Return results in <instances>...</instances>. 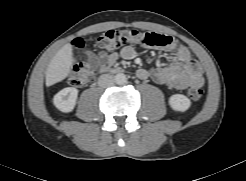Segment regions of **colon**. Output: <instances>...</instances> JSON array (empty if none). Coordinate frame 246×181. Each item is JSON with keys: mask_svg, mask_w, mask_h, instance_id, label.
Returning a JSON list of instances; mask_svg holds the SVG:
<instances>
[{"mask_svg": "<svg viewBox=\"0 0 246 181\" xmlns=\"http://www.w3.org/2000/svg\"><path fill=\"white\" fill-rule=\"evenodd\" d=\"M82 39H77L75 45L81 47ZM100 48L114 50L130 44L144 45L155 48H170L177 45V40L171 36L154 32H141L135 29H112L103 33L97 40ZM93 78V67L87 62H77L69 76V82L74 87H82ZM188 96L192 100H198L203 96V90L193 86L188 90Z\"/></svg>", "mask_w": 246, "mask_h": 181, "instance_id": "colon-1", "label": "colon"}]
</instances>
